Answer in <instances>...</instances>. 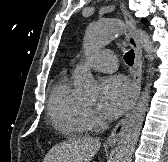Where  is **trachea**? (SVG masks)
Returning <instances> with one entry per match:
<instances>
[{
	"mask_svg": "<svg viewBox=\"0 0 168 162\" xmlns=\"http://www.w3.org/2000/svg\"><path fill=\"white\" fill-rule=\"evenodd\" d=\"M134 57H135V54H134V51L133 49L130 50L129 52H127L124 56V60L126 61V63L128 65H133V62H134Z\"/></svg>",
	"mask_w": 168,
	"mask_h": 162,
	"instance_id": "trachea-1",
	"label": "trachea"
}]
</instances>
